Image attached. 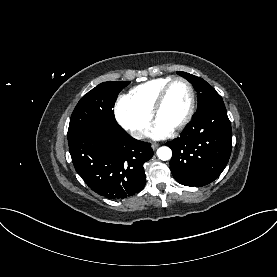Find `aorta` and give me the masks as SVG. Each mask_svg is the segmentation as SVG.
<instances>
[{
	"instance_id": "1",
	"label": "aorta",
	"mask_w": 277,
	"mask_h": 277,
	"mask_svg": "<svg viewBox=\"0 0 277 277\" xmlns=\"http://www.w3.org/2000/svg\"><path fill=\"white\" fill-rule=\"evenodd\" d=\"M157 156H158L159 159H161L163 161H166V160L171 159L172 151L169 147L163 146V147H160L157 150Z\"/></svg>"
}]
</instances>
